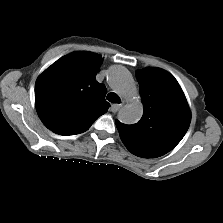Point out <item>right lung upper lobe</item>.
<instances>
[{
    "label": "right lung upper lobe",
    "mask_w": 223,
    "mask_h": 223,
    "mask_svg": "<svg viewBox=\"0 0 223 223\" xmlns=\"http://www.w3.org/2000/svg\"><path fill=\"white\" fill-rule=\"evenodd\" d=\"M101 56L73 52L46 69L35 84V106L43 124L60 135L79 134L110 107L106 87L95 80Z\"/></svg>",
    "instance_id": "right-lung-upper-lobe-1"
}]
</instances>
